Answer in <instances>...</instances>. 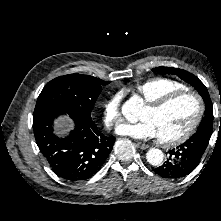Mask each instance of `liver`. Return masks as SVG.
Listing matches in <instances>:
<instances>
[{"mask_svg": "<svg viewBox=\"0 0 221 221\" xmlns=\"http://www.w3.org/2000/svg\"><path fill=\"white\" fill-rule=\"evenodd\" d=\"M56 123H57L56 127L59 133L67 132L69 128L72 126L71 124H69L70 122L67 119H58Z\"/></svg>", "mask_w": 221, "mask_h": 221, "instance_id": "1", "label": "liver"}]
</instances>
